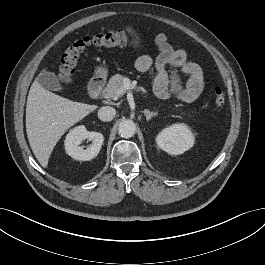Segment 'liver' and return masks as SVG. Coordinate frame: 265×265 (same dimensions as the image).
I'll list each match as a JSON object with an SVG mask.
<instances>
[{
	"instance_id": "obj_1",
	"label": "liver",
	"mask_w": 265,
	"mask_h": 265,
	"mask_svg": "<svg viewBox=\"0 0 265 265\" xmlns=\"http://www.w3.org/2000/svg\"><path fill=\"white\" fill-rule=\"evenodd\" d=\"M95 109V105L74 102L48 91L36 78L27 98L26 132L31 149L42 167L48 166L61 136Z\"/></svg>"
}]
</instances>
